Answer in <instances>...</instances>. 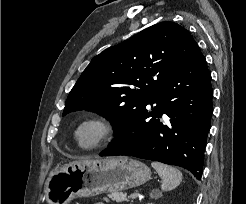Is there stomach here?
Returning <instances> with one entry per match:
<instances>
[{
  "instance_id": "1",
  "label": "stomach",
  "mask_w": 246,
  "mask_h": 204,
  "mask_svg": "<svg viewBox=\"0 0 246 204\" xmlns=\"http://www.w3.org/2000/svg\"><path fill=\"white\" fill-rule=\"evenodd\" d=\"M150 177L148 166L127 157L76 161L50 172L44 196L48 204H69L77 197L137 187Z\"/></svg>"
}]
</instances>
